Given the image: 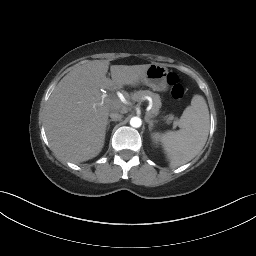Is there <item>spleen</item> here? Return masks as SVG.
Here are the masks:
<instances>
[{"mask_svg": "<svg viewBox=\"0 0 256 256\" xmlns=\"http://www.w3.org/2000/svg\"><path fill=\"white\" fill-rule=\"evenodd\" d=\"M181 129L168 131L162 144L170 167L191 161L204 147L209 134V110L201 95H194L180 119Z\"/></svg>", "mask_w": 256, "mask_h": 256, "instance_id": "3e777b00", "label": "spleen"}]
</instances>
